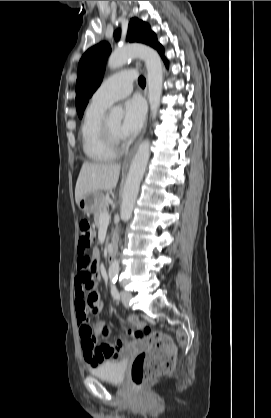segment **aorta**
Instances as JSON below:
<instances>
[{
    "label": "aorta",
    "instance_id": "762f6f07",
    "mask_svg": "<svg viewBox=\"0 0 271 418\" xmlns=\"http://www.w3.org/2000/svg\"><path fill=\"white\" fill-rule=\"evenodd\" d=\"M140 58L144 60L147 68L148 98L151 116L154 119L157 115L162 95L163 86V64L158 52L142 44L128 45L115 49L108 59V67L117 69L123 66L127 60ZM123 111L121 108H112L108 119L114 122H121ZM150 156V142L144 140L138 147L133 157L129 173L124 185L120 215L124 222L129 221L139 192L140 183L146 170ZM119 273V261L115 259L109 267V277L115 278Z\"/></svg>",
    "mask_w": 271,
    "mask_h": 418
}]
</instances>
